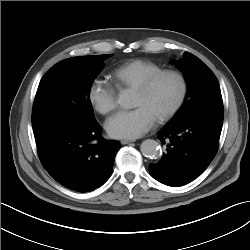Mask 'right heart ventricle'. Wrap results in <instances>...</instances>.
I'll list each match as a JSON object with an SVG mask.
<instances>
[{
  "instance_id": "1",
  "label": "right heart ventricle",
  "mask_w": 250,
  "mask_h": 250,
  "mask_svg": "<svg viewBox=\"0 0 250 250\" xmlns=\"http://www.w3.org/2000/svg\"><path fill=\"white\" fill-rule=\"evenodd\" d=\"M160 70L161 67L154 62L135 59L115 68L110 77L119 89H135L144 79Z\"/></svg>"
}]
</instances>
